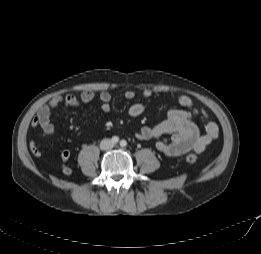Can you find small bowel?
<instances>
[{
	"instance_id": "small-bowel-1",
	"label": "small bowel",
	"mask_w": 261,
	"mask_h": 254,
	"mask_svg": "<svg viewBox=\"0 0 261 254\" xmlns=\"http://www.w3.org/2000/svg\"><path fill=\"white\" fill-rule=\"evenodd\" d=\"M150 90L143 91V97L146 100L152 98ZM96 97L101 102V110L108 114L111 111L112 96L107 91L96 94L93 91H84L79 96L69 94L66 96H55L47 104L41 106L32 120L33 127H40L47 135H54L55 127L51 122L52 110L63 105L64 108L78 106L93 101ZM124 97L132 100L135 97L133 90H126ZM176 102L183 109H170L167 117L162 122L154 126L142 127L136 137L140 140H158L156 142L157 150L165 156H182L187 152L193 151L200 154L218 137V125L210 119L205 109L197 107L193 100L188 96L177 97ZM146 105L144 103H134L128 109L131 117H138L144 113ZM194 118H200L204 124V134H201L198 126L193 121ZM168 135L167 138H162ZM30 151L34 156H40L41 150L38 144L32 140L29 144ZM70 158V152L66 149L60 151V160L66 163ZM63 173L71 174V169L63 167Z\"/></svg>"
}]
</instances>
